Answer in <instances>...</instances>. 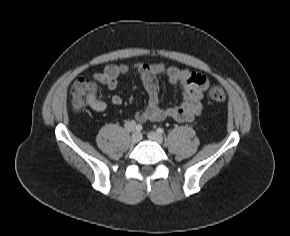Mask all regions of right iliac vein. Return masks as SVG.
I'll list each match as a JSON object with an SVG mask.
<instances>
[{
    "mask_svg": "<svg viewBox=\"0 0 290 236\" xmlns=\"http://www.w3.org/2000/svg\"><path fill=\"white\" fill-rule=\"evenodd\" d=\"M142 138V135L139 132H134L131 136L132 143H138Z\"/></svg>",
    "mask_w": 290,
    "mask_h": 236,
    "instance_id": "1",
    "label": "right iliac vein"
}]
</instances>
